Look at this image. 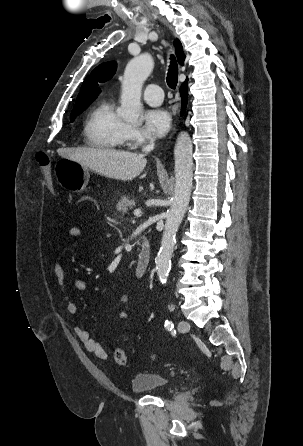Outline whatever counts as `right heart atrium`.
Wrapping results in <instances>:
<instances>
[{
    "instance_id": "1",
    "label": "right heart atrium",
    "mask_w": 303,
    "mask_h": 446,
    "mask_svg": "<svg viewBox=\"0 0 303 446\" xmlns=\"http://www.w3.org/2000/svg\"><path fill=\"white\" fill-rule=\"evenodd\" d=\"M123 138L124 141L131 146L140 145L151 140V138L139 128L129 124H125L124 126Z\"/></svg>"
}]
</instances>
